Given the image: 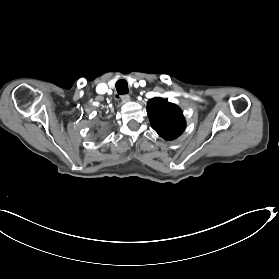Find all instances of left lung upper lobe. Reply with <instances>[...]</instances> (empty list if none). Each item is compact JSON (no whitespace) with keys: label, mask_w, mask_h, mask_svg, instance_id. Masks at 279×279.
<instances>
[{"label":"left lung upper lobe","mask_w":279,"mask_h":279,"mask_svg":"<svg viewBox=\"0 0 279 279\" xmlns=\"http://www.w3.org/2000/svg\"><path fill=\"white\" fill-rule=\"evenodd\" d=\"M147 114L152 128L165 140L177 138L186 123L180 108L161 98H153L147 104Z\"/></svg>","instance_id":"5c2ea615"}]
</instances>
